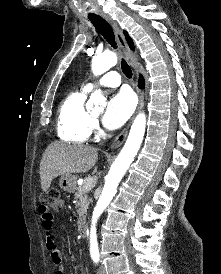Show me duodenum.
<instances>
[{
	"label": "duodenum",
	"instance_id": "duodenum-1",
	"mask_svg": "<svg viewBox=\"0 0 221 274\" xmlns=\"http://www.w3.org/2000/svg\"><path fill=\"white\" fill-rule=\"evenodd\" d=\"M88 235V225L86 222L82 223L79 228V236L81 239H85Z\"/></svg>",
	"mask_w": 221,
	"mask_h": 274
}]
</instances>
